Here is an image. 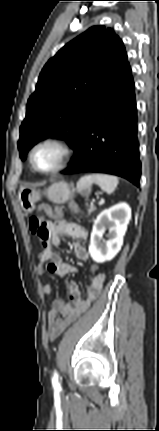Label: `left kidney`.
Segmentation results:
<instances>
[{
    "instance_id": "5707ae66",
    "label": "left kidney",
    "mask_w": 159,
    "mask_h": 431,
    "mask_svg": "<svg viewBox=\"0 0 159 431\" xmlns=\"http://www.w3.org/2000/svg\"><path fill=\"white\" fill-rule=\"evenodd\" d=\"M131 219V209L128 204L122 202L103 210L94 221L89 253L92 259L97 263H103L112 260L123 245V238ZM107 234L108 240H103V235Z\"/></svg>"
}]
</instances>
